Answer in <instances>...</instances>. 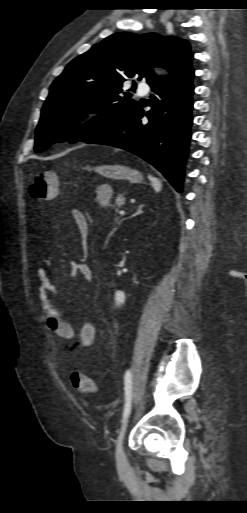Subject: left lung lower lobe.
<instances>
[{
    "mask_svg": "<svg viewBox=\"0 0 247 513\" xmlns=\"http://www.w3.org/2000/svg\"><path fill=\"white\" fill-rule=\"evenodd\" d=\"M192 58L170 76L171 84L162 79L151 86L155 95L149 100L150 111L145 114L137 105L109 130L86 143L114 146L141 157L181 192L192 123ZM143 116L148 118L147 123H142Z\"/></svg>",
    "mask_w": 247,
    "mask_h": 513,
    "instance_id": "1",
    "label": "left lung lower lobe"
}]
</instances>
